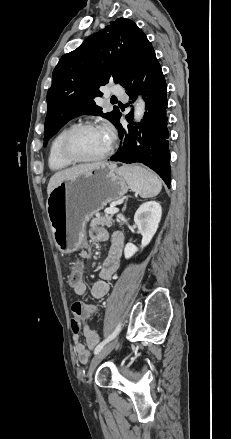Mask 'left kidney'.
I'll return each instance as SVG.
<instances>
[{
    "label": "left kidney",
    "instance_id": "left-kidney-1",
    "mask_svg": "<svg viewBox=\"0 0 231 439\" xmlns=\"http://www.w3.org/2000/svg\"><path fill=\"white\" fill-rule=\"evenodd\" d=\"M162 216L161 205L156 201H149L142 204L134 215V222L142 235L141 249L147 246L155 235ZM138 248L127 243L124 249L126 259L131 258Z\"/></svg>",
    "mask_w": 231,
    "mask_h": 439
}]
</instances>
